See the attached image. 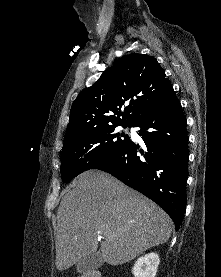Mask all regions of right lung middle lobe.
<instances>
[{
  "label": "right lung middle lobe",
  "mask_w": 221,
  "mask_h": 277,
  "mask_svg": "<svg viewBox=\"0 0 221 277\" xmlns=\"http://www.w3.org/2000/svg\"><path fill=\"white\" fill-rule=\"evenodd\" d=\"M118 126L127 124L104 125L82 131L65 140L61 154V175L67 183L80 173L92 169L96 164L129 143L126 133Z\"/></svg>",
  "instance_id": "1"
}]
</instances>
